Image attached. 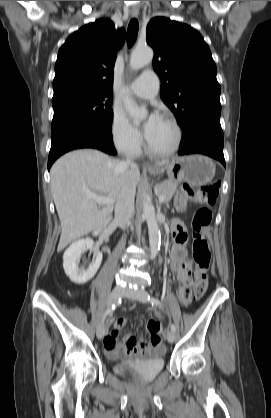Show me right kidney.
Returning <instances> with one entry per match:
<instances>
[{
  "mask_svg": "<svg viewBox=\"0 0 271 418\" xmlns=\"http://www.w3.org/2000/svg\"><path fill=\"white\" fill-rule=\"evenodd\" d=\"M86 250H95L93 240L79 239L73 242L63 255L64 271L70 280L76 284H83L91 280L102 262V253L97 249L93 263L86 269L79 268L78 261Z\"/></svg>",
  "mask_w": 271,
  "mask_h": 418,
  "instance_id": "1",
  "label": "right kidney"
}]
</instances>
